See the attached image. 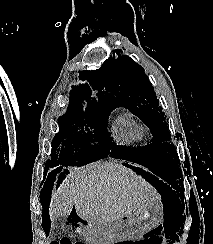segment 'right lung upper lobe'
<instances>
[{
	"instance_id": "right-lung-upper-lobe-1",
	"label": "right lung upper lobe",
	"mask_w": 213,
	"mask_h": 244,
	"mask_svg": "<svg viewBox=\"0 0 213 244\" xmlns=\"http://www.w3.org/2000/svg\"><path fill=\"white\" fill-rule=\"evenodd\" d=\"M96 71H84L79 73L80 80L87 79L88 82L93 83L95 79ZM95 92L93 85L92 89L86 84H80L79 86L73 87V91L70 95L69 108H83L95 111H107L110 112L109 106L103 102Z\"/></svg>"
}]
</instances>
